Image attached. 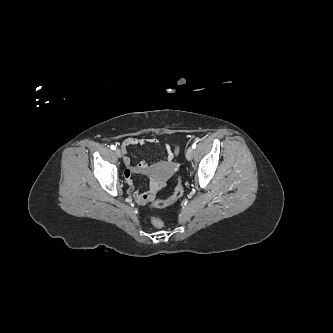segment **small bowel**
<instances>
[{
	"label": "small bowel",
	"mask_w": 333,
	"mask_h": 333,
	"mask_svg": "<svg viewBox=\"0 0 333 333\" xmlns=\"http://www.w3.org/2000/svg\"><path fill=\"white\" fill-rule=\"evenodd\" d=\"M146 143L156 144V143H158V140L156 138L144 139V138H137V137H128L123 141L121 148H122L123 153L126 154L127 150L131 146H141ZM164 148H165V152H166L165 161L155 163V164H149L145 161H142L138 165L134 166V165H132V162H131V159L129 156L126 155L124 157V163L126 166L124 175H125L126 181L128 182V184L130 186H133V179H132L133 173L151 175L149 188L145 191H135L134 192L135 200L137 201V203H139L141 205L151 202L154 199L156 193L158 191H160L164 186V182L161 179L154 177L152 175H154V173H156L158 171H168V170H172L174 168V165L172 163L173 156H174L173 152H172V148L169 144H165Z\"/></svg>",
	"instance_id": "small-bowel-1"
}]
</instances>
